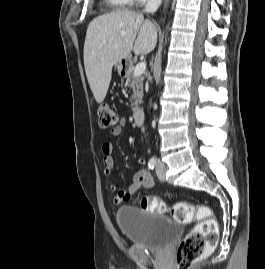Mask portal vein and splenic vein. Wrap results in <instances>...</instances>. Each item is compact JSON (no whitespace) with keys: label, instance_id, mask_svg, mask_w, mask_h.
Here are the masks:
<instances>
[{"label":"portal vein and splenic vein","instance_id":"18ae733b","mask_svg":"<svg viewBox=\"0 0 265 269\" xmlns=\"http://www.w3.org/2000/svg\"><path fill=\"white\" fill-rule=\"evenodd\" d=\"M146 69V63L145 62H139L135 69H134V76H140L142 73L145 72Z\"/></svg>","mask_w":265,"mask_h":269}]
</instances>
